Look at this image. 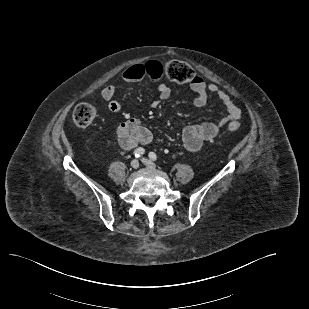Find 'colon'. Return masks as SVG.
Returning a JSON list of instances; mask_svg holds the SVG:
<instances>
[{"label":"colon","instance_id":"colon-1","mask_svg":"<svg viewBox=\"0 0 309 309\" xmlns=\"http://www.w3.org/2000/svg\"><path fill=\"white\" fill-rule=\"evenodd\" d=\"M154 66H159L162 73L166 75L168 79L173 82L186 84L191 83L196 79V73L193 68L183 61L171 60L164 65L158 63H152ZM97 117V111L95 107L89 103L78 104L73 111V121L79 127L90 126ZM240 128L238 122H230L228 129L230 131H237Z\"/></svg>","mask_w":309,"mask_h":309}]
</instances>
